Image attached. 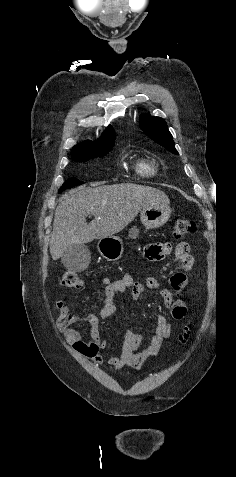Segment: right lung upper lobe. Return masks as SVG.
Instances as JSON below:
<instances>
[{"label": "right lung upper lobe", "mask_w": 236, "mask_h": 477, "mask_svg": "<svg viewBox=\"0 0 236 477\" xmlns=\"http://www.w3.org/2000/svg\"><path fill=\"white\" fill-rule=\"evenodd\" d=\"M115 141V133L110 125L103 135L95 142L84 141L72 148V158L90 155L102 149L112 148Z\"/></svg>", "instance_id": "1"}]
</instances>
